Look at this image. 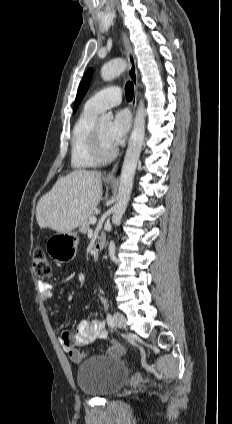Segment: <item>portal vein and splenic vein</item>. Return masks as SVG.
Masks as SVG:
<instances>
[{"label":"portal vein and splenic vein","instance_id":"1","mask_svg":"<svg viewBox=\"0 0 232 424\" xmlns=\"http://www.w3.org/2000/svg\"><path fill=\"white\" fill-rule=\"evenodd\" d=\"M96 222H97V218L96 217L90 218V224H95Z\"/></svg>","mask_w":232,"mask_h":424}]
</instances>
